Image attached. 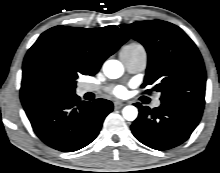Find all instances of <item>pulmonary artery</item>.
Wrapping results in <instances>:
<instances>
[{
	"mask_svg": "<svg viewBox=\"0 0 220 173\" xmlns=\"http://www.w3.org/2000/svg\"><path fill=\"white\" fill-rule=\"evenodd\" d=\"M126 70L131 74L142 72L146 67V54L143 50L138 51H122L120 54ZM85 90L89 92H96L99 88L92 84H87ZM152 105L158 107L160 105V99H154Z\"/></svg>",
	"mask_w": 220,
	"mask_h": 173,
	"instance_id": "1",
	"label": "pulmonary artery"
}]
</instances>
